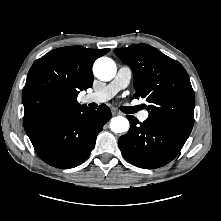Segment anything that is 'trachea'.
<instances>
[{"label": "trachea", "mask_w": 221, "mask_h": 221, "mask_svg": "<svg viewBox=\"0 0 221 221\" xmlns=\"http://www.w3.org/2000/svg\"><path fill=\"white\" fill-rule=\"evenodd\" d=\"M121 110L125 113H135L136 111L140 110V106H135V107H122Z\"/></svg>", "instance_id": "3493384b"}]
</instances>
